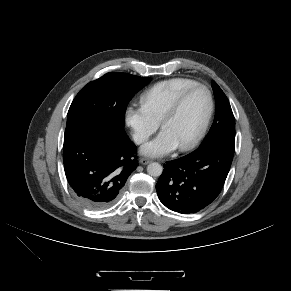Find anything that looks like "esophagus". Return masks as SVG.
<instances>
[{
    "mask_svg": "<svg viewBox=\"0 0 291 291\" xmlns=\"http://www.w3.org/2000/svg\"><path fill=\"white\" fill-rule=\"evenodd\" d=\"M151 161H152L151 159H149V158H145V157H142V158H140V160H139V162H140L141 164H143V165H146V164L150 163Z\"/></svg>",
    "mask_w": 291,
    "mask_h": 291,
    "instance_id": "1",
    "label": "esophagus"
}]
</instances>
